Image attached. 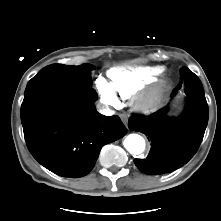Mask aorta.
Here are the masks:
<instances>
[{
	"mask_svg": "<svg viewBox=\"0 0 221 221\" xmlns=\"http://www.w3.org/2000/svg\"><path fill=\"white\" fill-rule=\"evenodd\" d=\"M123 144L130 154L139 155L145 150V140L138 134L128 135Z\"/></svg>",
	"mask_w": 221,
	"mask_h": 221,
	"instance_id": "obj_1",
	"label": "aorta"
}]
</instances>
